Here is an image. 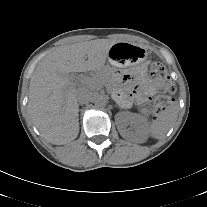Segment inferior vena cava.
Instances as JSON below:
<instances>
[{
  "mask_svg": "<svg viewBox=\"0 0 207 207\" xmlns=\"http://www.w3.org/2000/svg\"><path fill=\"white\" fill-rule=\"evenodd\" d=\"M76 98L80 104H86L94 100V93L86 87H81L77 90Z\"/></svg>",
  "mask_w": 207,
  "mask_h": 207,
  "instance_id": "1",
  "label": "inferior vena cava"
}]
</instances>
